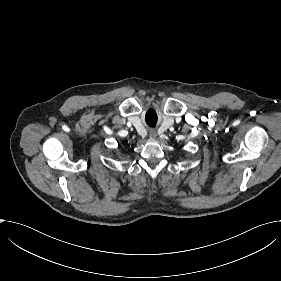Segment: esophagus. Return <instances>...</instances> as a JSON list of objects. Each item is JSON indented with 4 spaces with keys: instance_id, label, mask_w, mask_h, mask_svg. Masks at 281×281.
I'll use <instances>...</instances> for the list:
<instances>
[{
    "instance_id": "1",
    "label": "esophagus",
    "mask_w": 281,
    "mask_h": 281,
    "mask_svg": "<svg viewBox=\"0 0 281 281\" xmlns=\"http://www.w3.org/2000/svg\"><path fill=\"white\" fill-rule=\"evenodd\" d=\"M150 136H151L152 138H155V137H156V133L150 132Z\"/></svg>"
}]
</instances>
